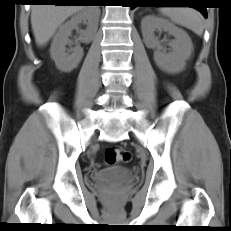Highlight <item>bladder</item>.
Masks as SVG:
<instances>
[{
  "mask_svg": "<svg viewBox=\"0 0 231 231\" xmlns=\"http://www.w3.org/2000/svg\"><path fill=\"white\" fill-rule=\"evenodd\" d=\"M133 174L125 167L107 168L92 175L94 183L99 185L122 184L131 181Z\"/></svg>",
  "mask_w": 231,
  "mask_h": 231,
  "instance_id": "31cf9c89",
  "label": "bladder"
}]
</instances>
